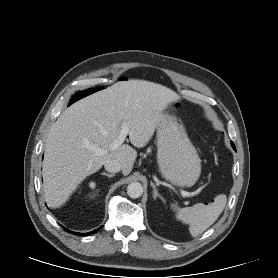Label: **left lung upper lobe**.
<instances>
[{"label":"left lung upper lobe","instance_id":"5c2ea615","mask_svg":"<svg viewBox=\"0 0 278 278\" xmlns=\"http://www.w3.org/2000/svg\"><path fill=\"white\" fill-rule=\"evenodd\" d=\"M233 148H235V145L232 143Z\"/></svg>","mask_w":278,"mask_h":278}]
</instances>
